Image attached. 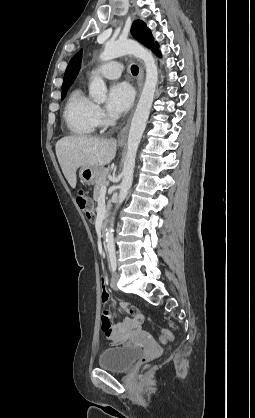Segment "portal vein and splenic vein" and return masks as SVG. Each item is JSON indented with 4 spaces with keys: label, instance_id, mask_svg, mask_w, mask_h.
Returning a JSON list of instances; mask_svg holds the SVG:
<instances>
[{
    "label": "portal vein and splenic vein",
    "instance_id": "1",
    "mask_svg": "<svg viewBox=\"0 0 255 418\" xmlns=\"http://www.w3.org/2000/svg\"><path fill=\"white\" fill-rule=\"evenodd\" d=\"M106 190H107V188H106V186H103L102 188H101V194H106Z\"/></svg>",
    "mask_w": 255,
    "mask_h": 418
}]
</instances>
